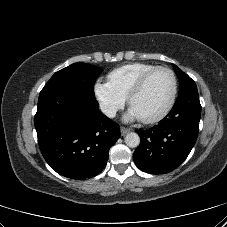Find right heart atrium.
<instances>
[{
	"mask_svg": "<svg viewBox=\"0 0 227 227\" xmlns=\"http://www.w3.org/2000/svg\"><path fill=\"white\" fill-rule=\"evenodd\" d=\"M94 94L102 112L113 117L125 104V98L119 95L108 82L97 81L94 84Z\"/></svg>",
	"mask_w": 227,
	"mask_h": 227,
	"instance_id": "1",
	"label": "right heart atrium"
}]
</instances>
